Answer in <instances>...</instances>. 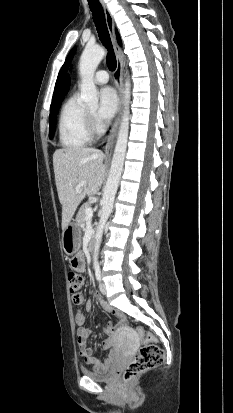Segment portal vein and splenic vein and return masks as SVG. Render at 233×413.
Wrapping results in <instances>:
<instances>
[{
    "mask_svg": "<svg viewBox=\"0 0 233 413\" xmlns=\"http://www.w3.org/2000/svg\"><path fill=\"white\" fill-rule=\"evenodd\" d=\"M86 183H87V181H82V182H80V183L75 187V190H76V191H79ZM85 212H86V220H89L90 218H92V216H93L92 207H88Z\"/></svg>",
    "mask_w": 233,
    "mask_h": 413,
    "instance_id": "18ae733b",
    "label": "portal vein and splenic vein"
}]
</instances>
